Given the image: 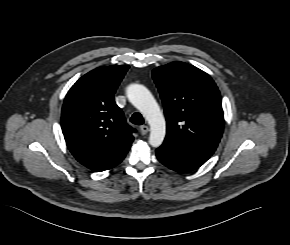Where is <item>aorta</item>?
Here are the masks:
<instances>
[{"label": "aorta", "instance_id": "obj_1", "mask_svg": "<svg viewBox=\"0 0 290 245\" xmlns=\"http://www.w3.org/2000/svg\"><path fill=\"white\" fill-rule=\"evenodd\" d=\"M127 97L150 125L149 144L155 148L159 147L165 138L166 122L158 103L150 91L140 84L130 85L127 88Z\"/></svg>", "mask_w": 290, "mask_h": 245}]
</instances>
